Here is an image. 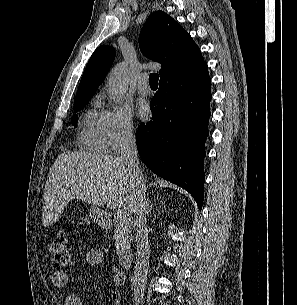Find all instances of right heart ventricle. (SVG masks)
<instances>
[{
  "instance_id": "e07e8e85",
  "label": "right heart ventricle",
  "mask_w": 297,
  "mask_h": 305,
  "mask_svg": "<svg viewBox=\"0 0 297 305\" xmlns=\"http://www.w3.org/2000/svg\"><path fill=\"white\" fill-rule=\"evenodd\" d=\"M78 141L83 150L104 153L107 150L105 136L101 126V115L88 110L81 121Z\"/></svg>"
}]
</instances>
